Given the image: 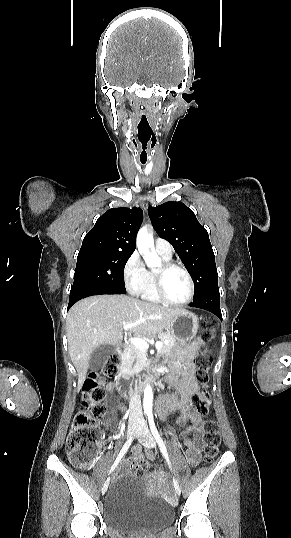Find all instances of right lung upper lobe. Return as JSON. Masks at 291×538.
Segmentation results:
<instances>
[{
    "label": "right lung upper lobe",
    "instance_id": "cb5924a9",
    "mask_svg": "<svg viewBox=\"0 0 291 538\" xmlns=\"http://www.w3.org/2000/svg\"><path fill=\"white\" fill-rule=\"evenodd\" d=\"M143 221L141 208H112L96 221L83 239L81 251L109 250L133 253Z\"/></svg>",
    "mask_w": 291,
    "mask_h": 538
}]
</instances>
